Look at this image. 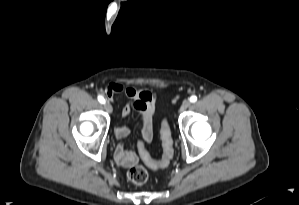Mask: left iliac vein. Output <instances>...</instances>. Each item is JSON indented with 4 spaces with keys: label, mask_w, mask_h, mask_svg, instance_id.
Returning <instances> with one entry per match:
<instances>
[{
    "label": "left iliac vein",
    "mask_w": 299,
    "mask_h": 205,
    "mask_svg": "<svg viewBox=\"0 0 299 205\" xmlns=\"http://www.w3.org/2000/svg\"><path fill=\"white\" fill-rule=\"evenodd\" d=\"M190 105H191L190 101L188 100L183 101L180 107V111L181 112L185 111Z\"/></svg>",
    "instance_id": "1"
}]
</instances>
